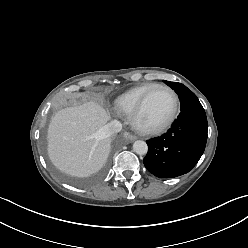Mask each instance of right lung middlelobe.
Instances as JSON below:
<instances>
[{"label": "right lung middle lobe", "mask_w": 248, "mask_h": 248, "mask_svg": "<svg viewBox=\"0 0 248 248\" xmlns=\"http://www.w3.org/2000/svg\"><path fill=\"white\" fill-rule=\"evenodd\" d=\"M109 164H110V160L106 162V164L101 168V170L98 173L84 179L69 176L54 166H52V170L59 178H61L65 182L77 186H89L98 182L105 175V173L108 170Z\"/></svg>", "instance_id": "obj_1"}]
</instances>
